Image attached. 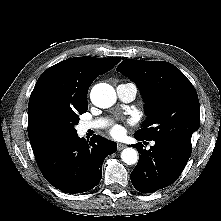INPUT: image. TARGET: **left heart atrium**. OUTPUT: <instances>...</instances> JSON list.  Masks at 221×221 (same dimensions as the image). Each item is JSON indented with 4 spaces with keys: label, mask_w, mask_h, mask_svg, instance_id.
<instances>
[{
    "label": "left heart atrium",
    "mask_w": 221,
    "mask_h": 221,
    "mask_svg": "<svg viewBox=\"0 0 221 221\" xmlns=\"http://www.w3.org/2000/svg\"><path fill=\"white\" fill-rule=\"evenodd\" d=\"M110 133L115 137H119L123 134V128L119 125H115L111 128Z\"/></svg>",
    "instance_id": "left-heart-atrium-1"
}]
</instances>
